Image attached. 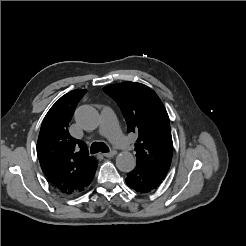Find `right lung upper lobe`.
<instances>
[{
    "instance_id": "cb5924a9",
    "label": "right lung upper lobe",
    "mask_w": 246,
    "mask_h": 246,
    "mask_svg": "<svg viewBox=\"0 0 246 246\" xmlns=\"http://www.w3.org/2000/svg\"><path fill=\"white\" fill-rule=\"evenodd\" d=\"M87 90L62 96L46 114L37 142L40 166L48 181L66 195L83 191L92 181L97 161L83 141L73 138L68 124Z\"/></svg>"
}]
</instances>
